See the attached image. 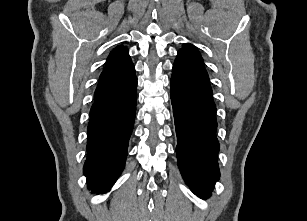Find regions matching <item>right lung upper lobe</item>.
I'll use <instances>...</instances> for the list:
<instances>
[{"instance_id":"obj_1","label":"right lung upper lobe","mask_w":307,"mask_h":221,"mask_svg":"<svg viewBox=\"0 0 307 221\" xmlns=\"http://www.w3.org/2000/svg\"><path fill=\"white\" fill-rule=\"evenodd\" d=\"M135 77V68L128 50L123 46H117L107 58L106 66L100 75L94 95L120 89Z\"/></svg>"}]
</instances>
